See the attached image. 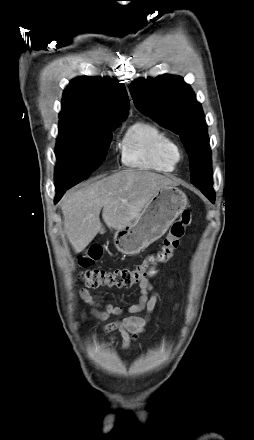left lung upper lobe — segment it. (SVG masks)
Wrapping results in <instances>:
<instances>
[{
  "instance_id": "1",
  "label": "left lung upper lobe",
  "mask_w": 254,
  "mask_h": 440,
  "mask_svg": "<svg viewBox=\"0 0 254 440\" xmlns=\"http://www.w3.org/2000/svg\"><path fill=\"white\" fill-rule=\"evenodd\" d=\"M136 107L180 135L188 156L191 183L212 202V161L207 124L200 103L181 77L160 75L130 86Z\"/></svg>"
}]
</instances>
